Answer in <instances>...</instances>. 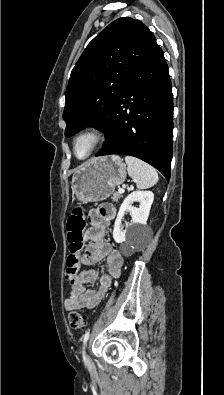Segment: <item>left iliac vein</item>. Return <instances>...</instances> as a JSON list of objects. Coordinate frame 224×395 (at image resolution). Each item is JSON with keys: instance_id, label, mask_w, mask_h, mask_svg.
<instances>
[{"instance_id": "obj_1", "label": "left iliac vein", "mask_w": 224, "mask_h": 395, "mask_svg": "<svg viewBox=\"0 0 224 395\" xmlns=\"http://www.w3.org/2000/svg\"><path fill=\"white\" fill-rule=\"evenodd\" d=\"M85 358H86V361L88 362V364H91V359H90V357H89L88 355H86Z\"/></svg>"}]
</instances>
